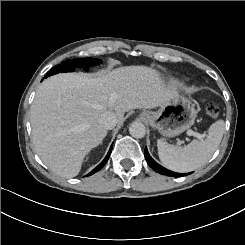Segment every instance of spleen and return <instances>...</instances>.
I'll list each match as a JSON object with an SVG mask.
<instances>
[{"label": "spleen", "instance_id": "1", "mask_svg": "<svg viewBox=\"0 0 245 245\" xmlns=\"http://www.w3.org/2000/svg\"><path fill=\"white\" fill-rule=\"evenodd\" d=\"M225 124L223 121L212 124L208 130V136L204 142L193 140L191 143L180 144L158 141L160 160L166 168L174 172L187 173L205 165L218 149Z\"/></svg>", "mask_w": 245, "mask_h": 245}]
</instances>
